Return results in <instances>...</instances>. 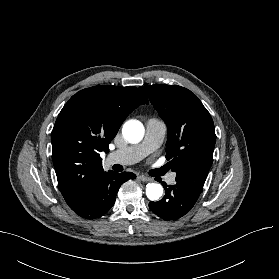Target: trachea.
Returning <instances> with one entry per match:
<instances>
[{"label":"trachea","mask_w":279,"mask_h":279,"mask_svg":"<svg viewBox=\"0 0 279 279\" xmlns=\"http://www.w3.org/2000/svg\"><path fill=\"white\" fill-rule=\"evenodd\" d=\"M167 171H168V168L166 166H164V167H162L160 169H157L156 173L159 174V175H162V174H164Z\"/></svg>","instance_id":"1"}]
</instances>
